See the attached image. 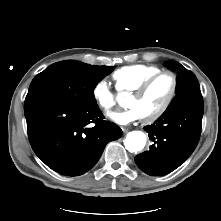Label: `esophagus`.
Wrapping results in <instances>:
<instances>
[{
    "instance_id": "34e87169",
    "label": "esophagus",
    "mask_w": 221,
    "mask_h": 221,
    "mask_svg": "<svg viewBox=\"0 0 221 221\" xmlns=\"http://www.w3.org/2000/svg\"><path fill=\"white\" fill-rule=\"evenodd\" d=\"M122 131H123L124 133H127V132L129 131V129L126 128V127H122Z\"/></svg>"
}]
</instances>
